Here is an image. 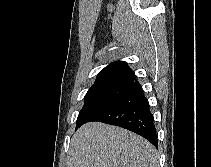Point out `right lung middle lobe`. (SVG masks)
<instances>
[{"label":"right lung middle lobe","mask_w":211,"mask_h":167,"mask_svg":"<svg viewBox=\"0 0 211 167\" xmlns=\"http://www.w3.org/2000/svg\"><path fill=\"white\" fill-rule=\"evenodd\" d=\"M133 81L102 80L96 81L85 95V103L77 118L76 127L90 121L108 105L124 94Z\"/></svg>","instance_id":"obj_1"}]
</instances>
